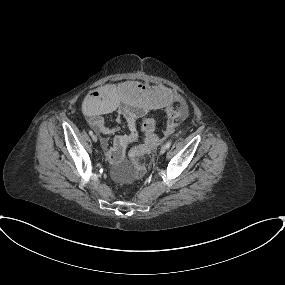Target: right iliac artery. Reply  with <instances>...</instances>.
I'll use <instances>...</instances> for the list:
<instances>
[{
	"instance_id": "1",
	"label": "right iliac artery",
	"mask_w": 285,
	"mask_h": 285,
	"mask_svg": "<svg viewBox=\"0 0 285 285\" xmlns=\"http://www.w3.org/2000/svg\"><path fill=\"white\" fill-rule=\"evenodd\" d=\"M89 134L92 136V135H93V132H92V131H89Z\"/></svg>"
}]
</instances>
